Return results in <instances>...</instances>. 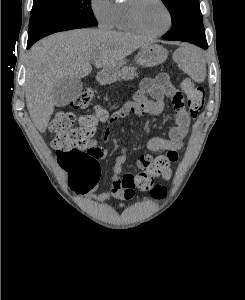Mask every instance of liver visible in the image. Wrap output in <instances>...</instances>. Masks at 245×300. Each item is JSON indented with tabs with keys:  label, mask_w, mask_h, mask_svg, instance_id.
Instances as JSON below:
<instances>
[{
	"label": "liver",
	"mask_w": 245,
	"mask_h": 300,
	"mask_svg": "<svg viewBox=\"0 0 245 300\" xmlns=\"http://www.w3.org/2000/svg\"><path fill=\"white\" fill-rule=\"evenodd\" d=\"M145 37L104 29H78L50 35L29 51L26 104L36 128L44 133L54 111L53 88L64 79H81L96 68L115 65L139 48Z\"/></svg>",
	"instance_id": "liver-1"
}]
</instances>
